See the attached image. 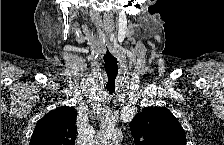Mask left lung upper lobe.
<instances>
[{
  "mask_svg": "<svg viewBox=\"0 0 224 145\" xmlns=\"http://www.w3.org/2000/svg\"><path fill=\"white\" fill-rule=\"evenodd\" d=\"M135 145H186L185 131L165 107H147L130 123Z\"/></svg>",
  "mask_w": 224,
  "mask_h": 145,
  "instance_id": "1",
  "label": "left lung upper lobe"
}]
</instances>
